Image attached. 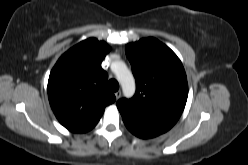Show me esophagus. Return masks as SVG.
Masks as SVG:
<instances>
[{
    "label": "esophagus",
    "instance_id": "1",
    "mask_svg": "<svg viewBox=\"0 0 248 165\" xmlns=\"http://www.w3.org/2000/svg\"><path fill=\"white\" fill-rule=\"evenodd\" d=\"M115 97L117 100L121 97V91L120 90L115 92Z\"/></svg>",
    "mask_w": 248,
    "mask_h": 165
}]
</instances>
